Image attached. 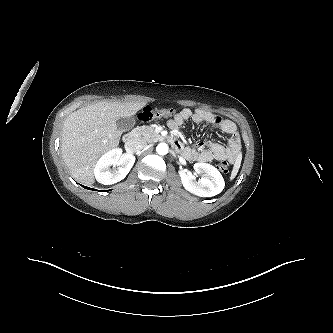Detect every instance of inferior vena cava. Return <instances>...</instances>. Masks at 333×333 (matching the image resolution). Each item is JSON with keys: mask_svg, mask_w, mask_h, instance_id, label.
Segmentation results:
<instances>
[{"mask_svg": "<svg viewBox=\"0 0 333 333\" xmlns=\"http://www.w3.org/2000/svg\"><path fill=\"white\" fill-rule=\"evenodd\" d=\"M147 143L143 139H136L126 143L125 148L129 153H134L143 150Z\"/></svg>", "mask_w": 333, "mask_h": 333, "instance_id": "602c4592", "label": "inferior vena cava"}]
</instances>
